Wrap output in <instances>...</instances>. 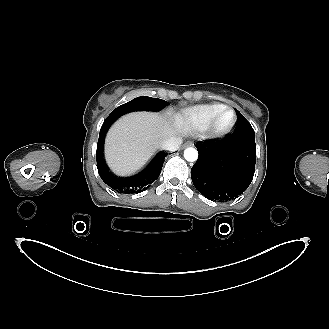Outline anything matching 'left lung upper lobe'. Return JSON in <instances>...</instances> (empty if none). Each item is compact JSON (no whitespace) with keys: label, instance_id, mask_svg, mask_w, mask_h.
I'll list each match as a JSON object with an SVG mask.
<instances>
[{"label":"left lung upper lobe","instance_id":"left-lung-upper-lobe-1","mask_svg":"<svg viewBox=\"0 0 329 329\" xmlns=\"http://www.w3.org/2000/svg\"><path fill=\"white\" fill-rule=\"evenodd\" d=\"M236 114H237V124L234 132L254 131L251 124L244 118V116L238 110H236Z\"/></svg>","mask_w":329,"mask_h":329}]
</instances>
